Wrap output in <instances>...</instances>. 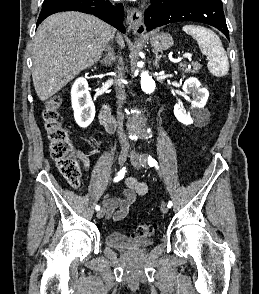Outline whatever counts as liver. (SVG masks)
Returning <instances> with one entry per match:
<instances>
[{
  "label": "liver",
  "mask_w": 259,
  "mask_h": 294,
  "mask_svg": "<svg viewBox=\"0 0 259 294\" xmlns=\"http://www.w3.org/2000/svg\"><path fill=\"white\" fill-rule=\"evenodd\" d=\"M116 30L80 12L49 16L38 27L32 52V79L38 98L47 101L81 71L96 64ZM117 42L124 41L117 34Z\"/></svg>",
  "instance_id": "6515ba94"
}]
</instances>
